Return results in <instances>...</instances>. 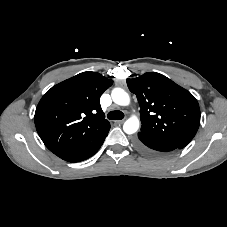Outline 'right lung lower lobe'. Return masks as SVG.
<instances>
[{
  "instance_id": "98d812e1",
  "label": "right lung lower lobe",
  "mask_w": 227,
  "mask_h": 227,
  "mask_svg": "<svg viewBox=\"0 0 227 227\" xmlns=\"http://www.w3.org/2000/svg\"><path fill=\"white\" fill-rule=\"evenodd\" d=\"M107 134L100 141H98L92 148H90L86 151H83V152H79V153H75L70 156H67V157L63 158V160L68 161V162H79V161L88 159L89 157L93 156L100 149Z\"/></svg>"
}]
</instances>
